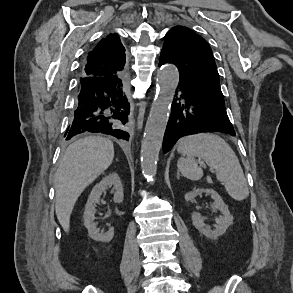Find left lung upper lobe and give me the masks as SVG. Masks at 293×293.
I'll return each instance as SVG.
<instances>
[{"label":"left lung upper lobe","instance_id":"5c2ea615","mask_svg":"<svg viewBox=\"0 0 293 293\" xmlns=\"http://www.w3.org/2000/svg\"><path fill=\"white\" fill-rule=\"evenodd\" d=\"M161 55L178 68L179 83L224 101L212 50L201 36L187 27L176 26L165 35Z\"/></svg>","mask_w":293,"mask_h":293}]
</instances>
